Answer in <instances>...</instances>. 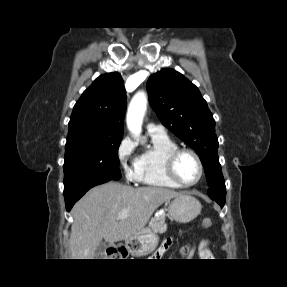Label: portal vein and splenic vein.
I'll return each instance as SVG.
<instances>
[{
    "label": "portal vein and splenic vein",
    "instance_id": "1",
    "mask_svg": "<svg viewBox=\"0 0 287 287\" xmlns=\"http://www.w3.org/2000/svg\"><path fill=\"white\" fill-rule=\"evenodd\" d=\"M129 214V211L128 210H123L121 212H119V218L120 219H123V218H126Z\"/></svg>",
    "mask_w": 287,
    "mask_h": 287
}]
</instances>
